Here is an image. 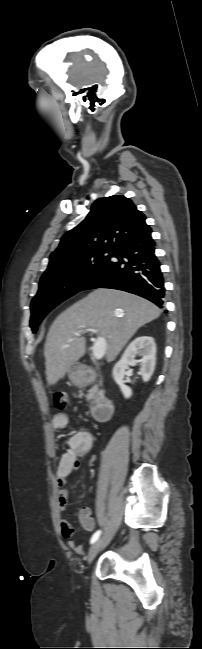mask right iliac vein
<instances>
[{"mask_svg":"<svg viewBox=\"0 0 202 649\" xmlns=\"http://www.w3.org/2000/svg\"><path fill=\"white\" fill-rule=\"evenodd\" d=\"M105 537H102L98 539L94 544L91 546L89 555H88V563L90 564L95 556L98 554L103 542H104Z\"/></svg>","mask_w":202,"mask_h":649,"instance_id":"63e3f726","label":"right iliac vein"}]
</instances>
